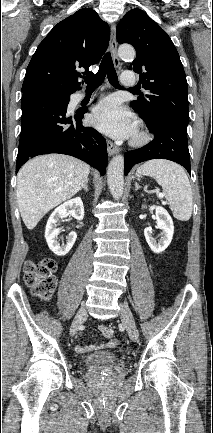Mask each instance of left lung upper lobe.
<instances>
[{
    "instance_id": "left-lung-upper-lobe-1",
    "label": "left lung upper lobe",
    "mask_w": 213,
    "mask_h": 433,
    "mask_svg": "<svg viewBox=\"0 0 213 433\" xmlns=\"http://www.w3.org/2000/svg\"><path fill=\"white\" fill-rule=\"evenodd\" d=\"M119 44L136 49L130 69L139 73V84L148 94L132 101L143 120L173 116L189 122L188 88L179 54L168 34L144 11L132 9L117 25Z\"/></svg>"
}]
</instances>
